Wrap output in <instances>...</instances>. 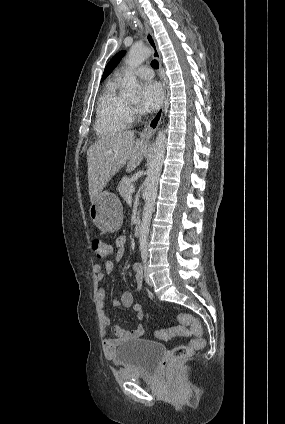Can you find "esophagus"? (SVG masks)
<instances>
[{"label":"esophagus","instance_id":"esophagus-1","mask_svg":"<svg viewBox=\"0 0 285 424\" xmlns=\"http://www.w3.org/2000/svg\"><path fill=\"white\" fill-rule=\"evenodd\" d=\"M144 28H145V33H146V40L147 43L149 44L151 50H152V54L153 57L158 61L159 63V70H160V78L162 81V86H163V98L165 100L166 97V86H165V82L163 79V75H162V61H161V56H160V52L158 50V46L156 43V40L153 36V33L151 31V28L149 27V25L144 22ZM164 103V101H163ZM163 104L160 107V109L155 113V115L151 118V120L148 122V124L144 127V129L141 132V136H152L156 130L158 129L162 116H163Z\"/></svg>","mask_w":285,"mask_h":424}]
</instances>
